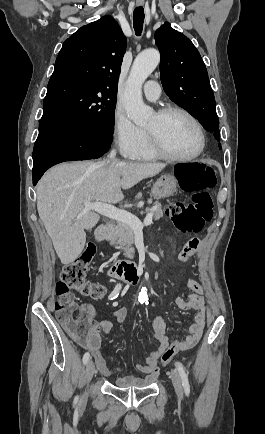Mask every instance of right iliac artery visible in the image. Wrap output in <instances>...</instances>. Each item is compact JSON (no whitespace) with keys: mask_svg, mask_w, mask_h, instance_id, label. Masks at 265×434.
Here are the masks:
<instances>
[{"mask_svg":"<svg viewBox=\"0 0 265 434\" xmlns=\"http://www.w3.org/2000/svg\"><path fill=\"white\" fill-rule=\"evenodd\" d=\"M121 287H122L121 284H117L115 286L114 290L108 296V299L113 300V299L117 298L119 293H120ZM89 359H90V354H89V352H86L83 356V363L86 364L89 361ZM77 400H78V397H75V401H77Z\"/></svg>","mask_w":265,"mask_h":434,"instance_id":"82829eb1","label":"right iliac artery"}]
</instances>
